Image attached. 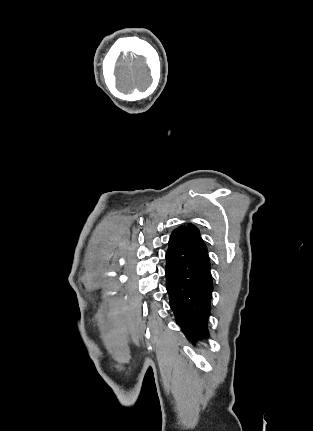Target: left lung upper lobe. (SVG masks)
<instances>
[{"label":"left lung upper lobe","instance_id":"left-lung-upper-lobe-1","mask_svg":"<svg viewBox=\"0 0 313 431\" xmlns=\"http://www.w3.org/2000/svg\"><path fill=\"white\" fill-rule=\"evenodd\" d=\"M188 228H190L192 231H194V232H196V233H198V234H199V231H198V229H197L195 226H193V225L189 224V225H188Z\"/></svg>","mask_w":313,"mask_h":431}]
</instances>
